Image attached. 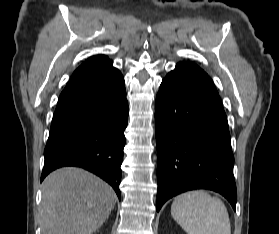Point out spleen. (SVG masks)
<instances>
[{
  "mask_svg": "<svg viewBox=\"0 0 279 234\" xmlns=\"http://www.w3.org/2000/svg\"><path fill=\"white\" fill-rule=\"evenodd\" d=\"M171 215L187 234H231L224 203L203 190L177 196L171 205Z\"/></svg>",
  "mask_w": 279,
  "mask_h": 234,
  "instance_id": "3e777b00",
  "label": "spleen"
}]
</instances>
